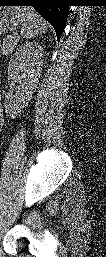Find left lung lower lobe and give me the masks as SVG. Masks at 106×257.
Returning <instances> with one entry per match:
<instances>
[{"label":"left lung lower lobe","instance_id":"0a47b994","mask_svg":"<svg viewBox=\"0 0 106 257\" xmlns=\"http://www.w3.org/2000/svg\"><path fill=\"white\" fill-rule=\"evenodd\" d=\"M0 4L34 7L54 27L57 40H60L68 17L69 0H0Z\"/></svg>","mask_w":106,"mask_h":257}]
</instances>
